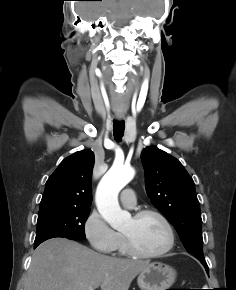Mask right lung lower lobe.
Masks as SVG:
<instances>
[{
    "label": "right lung lower lobe",
    "mask_w": 236,
    "mask_h": 290,
    "mask_svg": "<svg viewBox=\"0 0 236 290\" xmlns=\"http://www.w3.org/2000/svg\"><path fill=\"white\" fill-rule=\"evenodd\" d=\"M39 244H34V249L38 246Z\"/></svg>",
    "instance_id": "right-lung-lower-lobe-1"
}]
</instances>
